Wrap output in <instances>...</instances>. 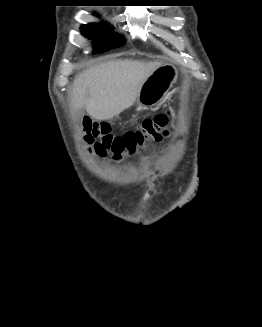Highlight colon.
I'll use <instances>...</instances> for the list:
<instances>
[{
    "instance_id": "colon-1",
    "label": "colon",
    "mask_w": 262,
    "mask_h": 327,
    "mask_svg": "<svg viewBox=\"0 0 262 327\" xmlns=\"http://www.w3.org/2000/svg\"><path fill=\"white\" fill-rule=\"evenodd\" d=\"M170 118V112L158 113L146 118L139 129L123 134H113L107 122L86 118L82 123L84 141L98 155L111 154L118 159L144 148L148 143L159 142L165 138Z\"/></svg>"
}]
</instances>
